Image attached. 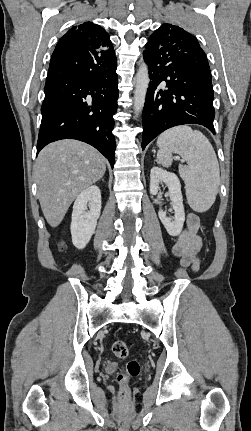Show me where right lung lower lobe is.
<instances>
[{
    "mask_svg": "<svg viewBox=\"0 0 251 431\" xmlns=\"http://www.w3.org/2000/svg\"><path fill=\"white\" fill-rule=\"evenodd\" d=\"M117 58L96 51L52 54L41 107L37 154L60 139H77L98 149L114 165L113 115L117 111Z\"/></svg>",
    "mask_w": 251,
    "mask_h": 431,
    "instance_id": "obj_1",
    "label": "right lung lower lobe"
}]
</instances>
